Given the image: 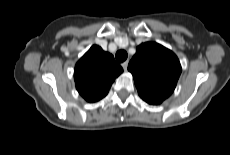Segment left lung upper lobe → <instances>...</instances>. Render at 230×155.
<instances>
[{
    "label": "left lung upper lobe",
    "mask_w": 230,
    "mask_h": 155,
    "mask_svg": "<svg viewBox=\"0 0 230 155\" xmlns=\"http://www.w3.org/2000/svg\"><path fill=\"white\" fill-rule=\"evenodd\" d=\"M139 96L149 104H161L174 91L181 65L177 56L155 42L142 43L128 65Z\"/></svg>",
    "instance_id": "left-lung-upper-lobe-1"
}]
</instances>
